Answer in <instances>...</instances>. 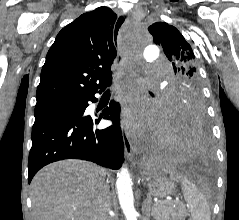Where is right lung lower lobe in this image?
Segmentation results:
<instances>
[{
  "label": "right lung lower lobe",
  "instance_id": "obj_1",
  "mask_svg": "<svg viewBox=\"0 0 239 220\" xmlns=\"http://www.w3.org/2000/svg\"><path fill=\"white\" fill-rule=\"evenodd\" d=\"M112 79L95 93H102ZM94 93V94H95ZM75 100L62 110L35 114L32 147L28 159V182L45 165L62 159H82L103 167L119 169L124 161L119 103L111 101L98 119L85 116L95 96ZM101 118L113 121L106 129H94Z\"/></svg>",
  "mask_w": 239,
  "mask_h": 220
}]
</instances>
